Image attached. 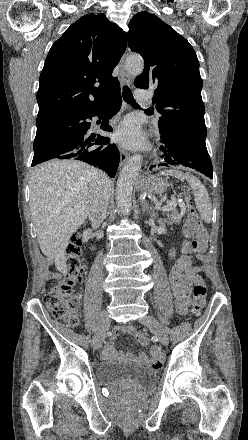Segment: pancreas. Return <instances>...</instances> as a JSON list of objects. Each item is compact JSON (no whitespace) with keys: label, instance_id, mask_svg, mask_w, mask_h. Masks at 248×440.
<instances>
[{"label":"pancreas","instance_id":"1","mask_svg":"<svg viewBox=\"0 0 248 440\" xmlns=\"http://www.w3.org/2000/svg\"><path fill=\"white\" fill-rule=\"evenodd\" d=\"M171 214H168L167 217L170 220V225L172 223L178 224L181 222L182 216L184 215V212L178 213V210L176 208V205L172 207L171 210H169Z\"/></svg>","mask_w":248,"mask_h":440}]
</instances>
